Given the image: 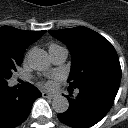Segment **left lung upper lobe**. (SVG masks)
Wrapping results in <instances>:
<instances>
[{"mask_svg": "<svg viewBox=\"0 0 128 128\" xmlns=\"http://www.w3.org/2000/svg\"><path fill=\"white\" fill-rule=\"evenodd\" d=\"M64 42L72 54L70 88H80L98 79L121 80L118 55L112 44L97 32L80 26L48 31Z\"/></svg>", "mask_w": 128, "mask_h": 128, "instance_id": "5c2ea615", "label": "left lung upper lobe"}]
</instances>
